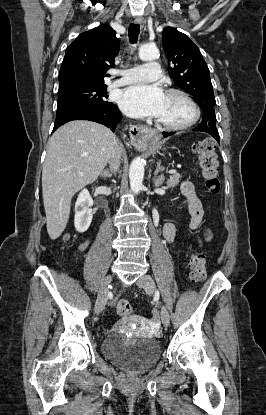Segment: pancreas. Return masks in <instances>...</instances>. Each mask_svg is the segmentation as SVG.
<instances>
[{
	"label": "pancreas",
	"instance_id": "1",
	"mask_svg": "<svg viewBox=\"0 0 266 415\" xmlns=\"http://www.w3.org/2000/svg\"><path fill=\"white\" fill-rule=\"evenodd\" d=\"M180 179H181V175L180 174H177V173L176 174H172L169 177V179L167 180V185L169 187H173V186H175V185H177L179 183Z\"/></svg>",
	"mask_w": 266,
	"mask_h": 415
}]
</instances>
